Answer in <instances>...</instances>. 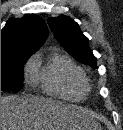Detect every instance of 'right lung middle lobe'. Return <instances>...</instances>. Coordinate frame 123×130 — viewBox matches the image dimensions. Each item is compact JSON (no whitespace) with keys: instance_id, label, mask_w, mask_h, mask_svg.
<instances>
[{"instance_id":"dd1d6c3e","label":"right lung middle lobe","mask_w":123,"mask_h":130,"mask_svg":"<svg viewBox=\"0 0 123 130\" xmlns=\"http://www.w3.org/2000/svg\"><path fill=\"white\" fill-rule=\"evenodd\" d=\"M32 54H18L1 58V91H19L23 86V66Z\"/></svg>"}]
</instances>
